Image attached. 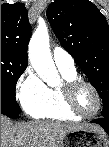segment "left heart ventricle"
<instances>
[{"mask_svg": "<svg viewBox=\"0 0 109 147\" xmlns=\"http://www.w3.org/2000/svg\"><path fill=\"white\" fill-rule=\"evenodd\" d=\"M76 101L78 108L84 114H91L97 105L93 92L87 86H81L77 92Z\"/></svg>", "mask_w": 109, "mask_h": 147, "instance_id": "b2bd125f", "label": "left heart ventricle"}]
</instances>
